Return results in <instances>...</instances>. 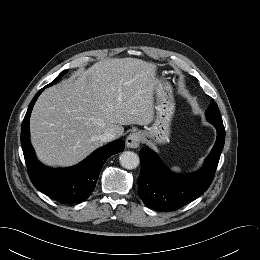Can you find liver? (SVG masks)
Wrapping results in <instances>:
<instances>
[{"label":"liver","mask_w":260,"mask_h":260,"mask_svg":"<svg viewBox=\"0 0 260 260\" xmlns=\"http://www.w3.org/2000/svg\"><path fill=\"white\" fill-rule=\"evenodd\" d=\"M157 83L154 64L114 58L46 89L30 118L39 160L50 166H73L102 145L104 132L119 138L122 125H148L154 118Z\"/></svg>","instance_id":"obj_1"}]
</instances>
